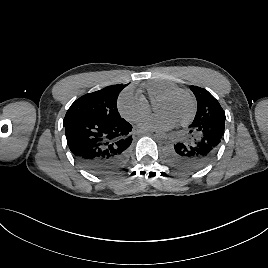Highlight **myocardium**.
Instances as JSON below:
<instances>
[{
    "label": "myocardium",
    "mask_w": 268,
    "mask_h": 268,
    "mask_svg": "<svg viewBox=\"0 0 268 268\" xmlns=\"http://www.w3.org/2000/svg\"><path fill=\"white\" fill-rule=\"evenodd\" d=\"M178 95L186 96L191 104V109H190L189 114L183 120H181L180 122L177 123L178 126H186L194 119L196 111H197L196 99L190 91H188L186 89H182V88H177V89L171 90V91L167 92L166 94H164L162 97H160L155 102L154 108L157 104L171 100L172 98H174Z\"/></svg>",
    "instance_id": "1"
}]
</instances>
